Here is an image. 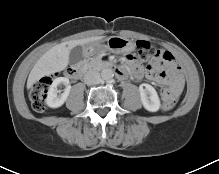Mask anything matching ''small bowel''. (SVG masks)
<instances>
[{
  "label": "small bowel",
  "mask_w": 219,
  "mask_h": 174,
  "mask_svg": "<svg viewBox=\"0 0 219 174\" xmlns=\"http://www.w3.org/2000/svg\"><path fill=\"white\" fill-rule=\"evenodd\" d=\"M126 63L128 64L133 77L138 79L143 76V68L134 63L132 55L127 57ZM146 76L150 80L169 85L170 89L164 87L157 88L156 95L158 98L164 101H180L184 77L181 68L176 63L175 58L170 51H157L155 57L148 65Z\"/></svg>",
  "instance_id": "c3829d8e"
}]
</instances>
